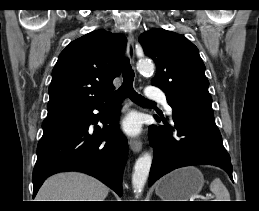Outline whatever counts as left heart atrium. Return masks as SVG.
Returning <instances> with one entry per match:
<instances>
[{
    "instance_id": "left-heart-atrium-1",
    "label": "left heart atrium",
    "mask_w": 259,
    "mask_h": 211,
    "mask_svg": "<svg viewBox=\"0 0 259 211\" xmlns=\"http://www.w3.org/2000/svg\"><path fill=\"white\" fill-rule=\"evenodd\" d=\"M122 128L126 133L134 135L140 130V122L137 117L129 116L123 121Z\"/></svg>"
}]
</instances>
